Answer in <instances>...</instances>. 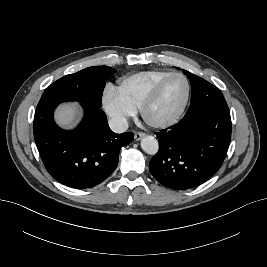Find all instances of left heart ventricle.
<instances>
[{"instance_id":"b2bd125f","label":"left heart ventricle","mask_w":267,"mask_h":267,"mask_svg":"<svg viewBox=\"0 0 267 267\" xmlns=\"http://www.w3.org/2000/svg\"><path fill=\"white\" fill-rule=\"evenodd\" d=\"M186 94V83L180 77L172 78L162 89L159 98L149 110L151 120H164L180 108Z\"/></svg>"}]
</instances>
